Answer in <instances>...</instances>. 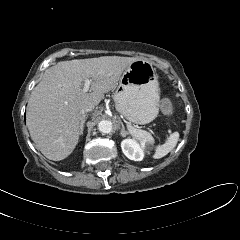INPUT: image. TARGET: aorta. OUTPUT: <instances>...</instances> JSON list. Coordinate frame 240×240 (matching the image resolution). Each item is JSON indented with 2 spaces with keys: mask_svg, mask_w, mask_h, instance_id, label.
I'll return each mask as SVG.
<instances>
[{
  "mask_svg": "<svg viewBox=\"0 0 240 240\" xmlns=\"http://www.w3.org/2000/svg\"><path fill=\"white\" fill-rule=\"evenodd\" d=\"M98 129L102 133H110L112 131V122L109 120H102L98 124Z\"/></svg>",
  "mask_w": 240,
  "mask_h": 240,
  "instance_id": "762f6f07",
  "label": "aorta"
}]
</instances>
